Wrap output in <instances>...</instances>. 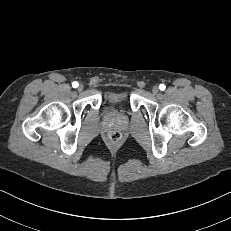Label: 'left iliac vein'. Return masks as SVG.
Listing matches in <instances>:
<instances>
[{"instance_id": "obj_1", "label": "left iliac vein", "mask_w": 231, "mask_h": 231, "mask_svg": "<svg viewBox=\"0 0 231 231\" xmlns=\"http://www.w3.org/2000/svg\"><path fill=\"white\" fill-rule=\"evenodd\" d=\"M152 92H153L154 94H157V93L159 92V87H158V86H154V87L152 88Z\"/></svg>"}]
</instances>
